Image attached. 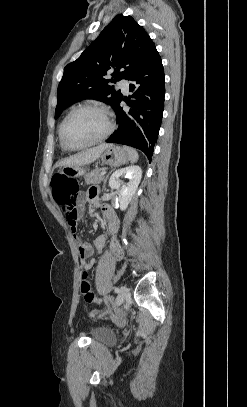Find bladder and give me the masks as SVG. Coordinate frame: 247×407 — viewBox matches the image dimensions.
I'll use <instances>...</instances> for the list:
<instances>
[{"mask_svg": "<svg viewBox=\"0 0 247 407\" xmlns=\"http://www.w3.org/2000/svg\"><path fill=\"white\" fill-rule=\"evenodd\" d=\"M92 341L111 345L115 342V334L106 327H97L89 335Z\"/></svg>", "mask_w": 247, "mask_h": 407, "instance_id": "obj_1", "label": "bladder"}]
</instances>
